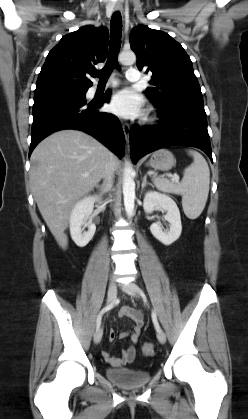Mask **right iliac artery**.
<instances>
[{
    "mask_svg": "<svg viewBox=\"0 0 248 419\" xmlns=\"http://www.w3.org/2000/svg\"><path fill=\"white\" fill-rule=\"evenodd\" d=\"M113 308V305L112 304H110V305H107L106 307H104L101 311H100V313H99V315H98V317H97V321H96V327H97V329L100 327V325H101V320H102V316L104 315V313L105 312H107V311H109L110 309H112Z\"/></svg>",
    "mask_w": 248,
    "mask_h": 419,
    "instance_id": "82829eb1",
    "label": "right iliac artery"
}]
</instances>
